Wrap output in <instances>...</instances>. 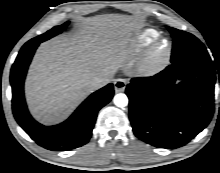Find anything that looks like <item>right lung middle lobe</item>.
I'll list each match as a JSON object with an SVG mask.
<instances>
[{
	"mask_svg": "<svg viewBox=\"0 0 220 173\" xmlns=\"http://www.w3.org/2000/svg\"><path fill=\"white\" fill-rule=\"evenodd\" d=\"M68 24H69V22H66V23H64V24H62V25H60V26H55L54 28H52L51 30L47 31L46 33H44V34H42V35H40V36H37V37L31 39V40L28 41V42L39 41V42L41 43V42H43V41H45V40H48V39H50L51 37H53V36H55V35L61 33L62 30H64V29L67 27Z\"/></svg>",
	"mask_w": 220,
	"mask_h": 173,
	"instance_id": "right-lung-middle-lobe-1",
	"label": "right lung middle lobe"
}]
</instances>
